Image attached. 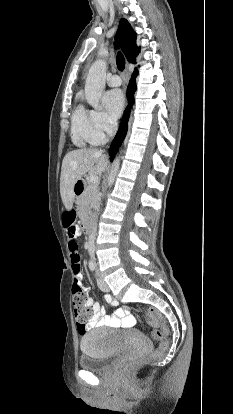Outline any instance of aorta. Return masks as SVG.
Masks as SVG:
<instances>
[{
	"label": "aorta",
	"instance_id": "aorta-1",
	"mask_svg": "<svg viewBox=\"0 0 233 414\" xmlns=\"http://www.w3.org/2000/svg\"><path fill=\"white\" fill-rule=\"evenodd\" d=\"M106 78V61L102 59L96 60L90 67L86 83H85V98L92 107L99 109V101L105 88ZM120 166V158L116 157L112 163L108 175V187H112L115 177Z\"/></svg>",
	"mask_w": 233,
	"mask_h": 414
}]
</instances>
